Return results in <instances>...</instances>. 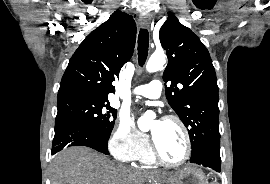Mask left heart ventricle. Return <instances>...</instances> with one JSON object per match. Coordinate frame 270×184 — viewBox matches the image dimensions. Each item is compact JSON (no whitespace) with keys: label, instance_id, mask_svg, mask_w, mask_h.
<instances>
[{"label":"left heart ventricle","instance_id":"b2bd125f","mask_svg":"<svg viewBox=\"0 0 270 184\" xmlns=\"http://www.w3.org/2000/svg\"><path fill=\"white\" fill-rule=\"evenodd\" d=\"M152 137L161 156L170 162L181 160L185 154V139L180 127L170 121H155L151 125Z\"/></svg>","mask_w":270,"mask_h":184}]
</instances>
